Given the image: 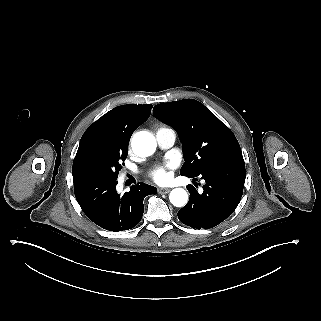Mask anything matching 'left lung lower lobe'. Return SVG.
I'll use <instances>...</instances> for the list:
<instances>
[{
	"instance_id": "obj_1",
	"label": "left lung lower lobe",
	"mask_w": 321,
	"mask_h": 321,
	"mask_svg": "<svg viewBox=\"0 0 321 321\" xmlns=\"http://www.w3.org/2000/svg\"><path fill=\"white\" fill-rule=\"evenodd\" d=\"M205 180L203 193L188 185L190 200L178 212L179 220L192 228L209 229L228 218L238 206L245 183L243 156L215 161L196 176Z\"/></svg>"
}]
</instances>
